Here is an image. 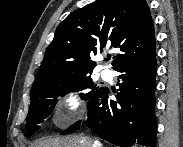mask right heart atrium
<instances>
[{"label":"right heart atrium","mask_w":183,"mask_h":147,"mask_svg":"<svg viewBox=\"0 0 183 147\" xmlns=\"http://www.w3.org/2000/svg\"><path fill=\"white\" fill-rule=\"evenodd\" d=\"M80 105V98L77 95L75 91H69L66 93V95L63 98V106L65 109L70 111H75ZM56 117L59 122L62 121L63 124H68V120H63L62 118V112L60 110H57Z\"/></svg>","instance_id":"right-heart-atrium-1"}]
</instances>
